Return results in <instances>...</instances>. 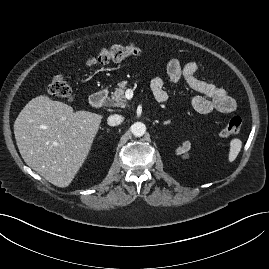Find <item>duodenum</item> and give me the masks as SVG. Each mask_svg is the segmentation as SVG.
Returning a JSON list of instances; mask_svg holds the SVG:
<instances>
[{"label":"duodenum","mask_w":269,"mask_h":269,"mask_svg":"<svg viewBox=\"0 0 269 269\" xmlns=\"http://www.w3.org/2000/svg\"><path fill=\"white\" fill-rule=\"evenodd\" d=\"M108 97V92L106 90H99L94 92L90 97V103L95 108H101Z\"/></svg>","instance_id":"410a0bca"}]
</instances>
